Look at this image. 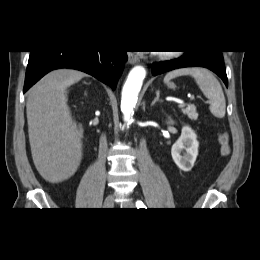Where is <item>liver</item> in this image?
<instances>
[{"label": "liver", "mask_w": 260, "mask_h": 260, "mask_svg": "<svg viewBox=\"0 0 260 260\" xmlns=\"http://www.w3.org/2000/svg\"><path fill=\"white\" fill-rule=\"evenodd\" d=\"M84 76L73 69L54 70L30 90L27 99L33 162L39 174L51 183L74 175L82 159V143L73 127L65 91Z\"/></svg>", "instance_id": "liver-1"}]
</instances>
